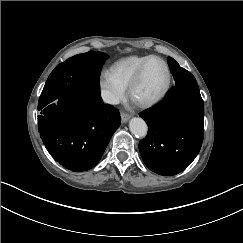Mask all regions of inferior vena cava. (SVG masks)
<instances>
[{
  "label": "inferior vena cava",
  "instance_id": "inferior-vena-cava-1",
  "mask_svg": "<svg viewBox=\"0 0 243 243\" xmlns=\"http://www.w3.org/2000/svg\"><path fill=\"white\" fill-rule=\"evenodd\" d=\"M101 95H102L104 102H106L108 104H112V105L119 104V99L114 94H112L110 91L104 90L101 92Z\"/></svg>",
  "mask_w": 243,
  "mask_h": 243
}]
</instances>
